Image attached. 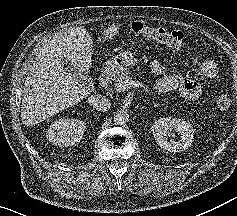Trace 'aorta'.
Here are the masks:
<instances>
[{
  "label": "aorta",
  "instance_id": "aorta-1",
  "mask_svg": "<svg viewBox=\"0 0 237 216\" xmlns=\"http://www.w3.org/2000/svg\"><path fill=\"white\" fill-rule=\"evenodd\" d=\"M113 119L115 125L124 126L129 121V114L125 110H118L115 112Z\"/></svg>",
  "mask_w": 237,
  "mask_h": 216
}]
</instances>
